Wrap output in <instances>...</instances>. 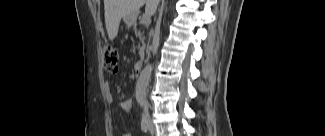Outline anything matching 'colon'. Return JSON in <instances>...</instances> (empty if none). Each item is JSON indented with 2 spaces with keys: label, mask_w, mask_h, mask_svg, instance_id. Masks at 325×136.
<instances>
[{
  "label": "colon",
  "mask_w": 325,
  "mask_h": 136,
  "mask_svg": "<svg viewBox=\"0 0 325 136\" xmlns=\"http://www.w3.org/2000/svg\"><path fill=\"white\" fill-rule=\"evenodd\" d=\"M104 68L110 72L115 73L118 70L119 55L118 51L112 45H106L103 48Z\"/></svg>",
  "instance_id": "1"
}]
</instances>
